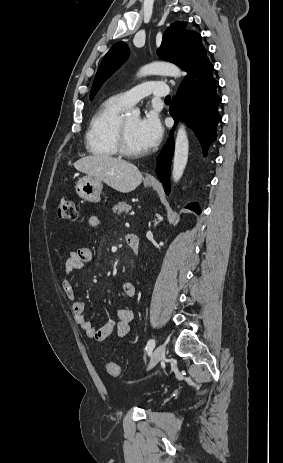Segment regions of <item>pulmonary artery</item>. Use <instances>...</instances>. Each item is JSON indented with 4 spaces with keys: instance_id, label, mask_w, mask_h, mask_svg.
Listing matches in <instances>:
<instances>
[{
    "instance_id": "e3ab8cb5",
    "label": "pulmonary artery",
    "mask_w": 283,
    "mask_h": 463,
    "mask_svg": "<svg viewBox=\"0 0 283 463\" xmlns=\"http://www.w3.org/2000/svg\"><path fill=\"white\" fill-rule=\"evenodd\" d=\"M169 88L162 81H149L117 95L126 106H132L149 95L166 97Z\"/></svg>"
}]
</instances>
